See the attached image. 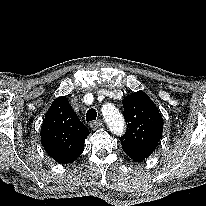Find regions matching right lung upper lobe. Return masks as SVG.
<instances>
[{
	"instance_id": "obj_1",
	"label": "right lung upper lobe",
	"mask_w": 206,
	"mask_h": 206,
	"mask_svg": "<svg viewBox=\"0 0 206 206\" xmlns=\"http://www.w3.org/2000/svg\"><path fill=\"white\" fill-rule=\"evenodd\" d=\"M88 134L66 96L56 98L41 127V143L47 154L58 163H71L83 152Z\"/></svg>"
}]
</instances>
